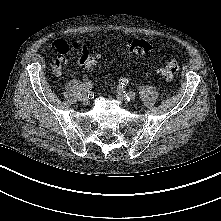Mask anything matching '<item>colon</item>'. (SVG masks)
<instances>
[{"label":"colon","mask_w":221,"mask_h":221,"mask_svg":"<svg viewBox=\"0 0 221 221\" xmlns=\"http://www.w3.org/2000/svg\"><path fill=\"white\" fill-rule=\"evenodd\" d=\"M128 52L132 55L140 56L148 53L151 50V45L142 39H133L128 42ZM99 61L98 55H90L88 52L84 53L80 59L79 64L84 69H92ZM179 70V61L176 58H169L165 64L160 68L159 73L165 79H171Z\"/></svg>","instance_id":"colon-1"}]
</instances>
